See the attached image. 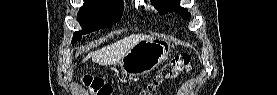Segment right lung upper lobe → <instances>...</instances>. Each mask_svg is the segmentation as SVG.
I'll return each instance as SVG.
<instances>
[{
  "mask_svg": "<svg viewBox=\"0 0 277 95\" xmlns=\"http://www.w3.org/2000/svg\"><path fill=\"white\" fill-rule=\"evenodd\" d=\"M84 1H88V0H84ZM110 1L123 2V0H110Z\"/></svg>",
  "mask_w": 277,
  "mask_h": 95,
  "instance_id": "right-lung-upper-lobe-1",
  "label": "right lung upper lobe"
}]
</instances>
